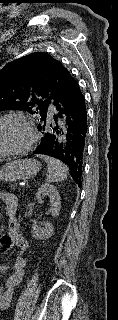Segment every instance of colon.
I'll use <instances>...</instances> for the list:
<instances>
[{"mask_svg":"<svg viewBox=\"0 0 118 320\" xmlns=\"http://www.w3.org/2000/svg\"><path fill=\"white\" fill-rule=\"evenodd\" d=\"M13 246L24 247L25 242L23 238L18 234L17 226H12L8 234L4 235L1 239V249L6 250Z\"/></svg>","mask_w":118,"mask_h":320,"instance_id":"obj_1","label":"colon"}]
</instances>
